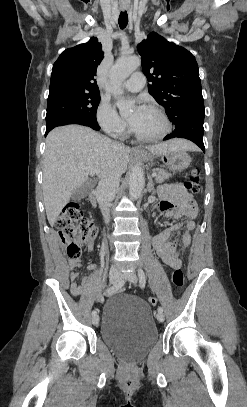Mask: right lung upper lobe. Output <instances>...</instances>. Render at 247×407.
<instances>
[{"label":"right lung upper lobe","instance_id":"obj_1","mask_svg":"<svg viewBox=\"0 0 247 407\" xmlns=\"http://www.w3.org/2000/svg\"><path fill=\"white\" fill-rule=\"evenodd\" d=\"M102 59V45L94 37L87 43L66 49L53 65L49 93L60 90L99 92L95 76Z\"/></svg>","mask_w":247,"mask_h":407}]
</instances>
